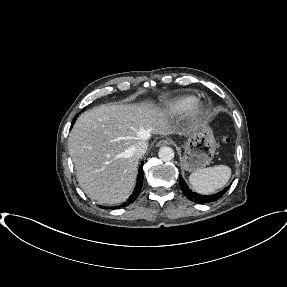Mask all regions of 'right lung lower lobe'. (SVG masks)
I'll use <instances>...</instances> for the list:
<instances>
[{
    "instance_id": "98d812e1",
    "label": "right lung lower lobe",
    "mask_w": 287,
    "mask_h": 287,
    "mask_svg": "<svg viewBox=\"0 0 287 287\" xmlns=\"http://www.w3.org/2000/svg\"><path fill=\"white\" fill-rule=\"evenodd\" d=\"M74 123H72L73 125ZM142 166H143V162L141 163L140 165V168H139V172H138V176H137V182H136V186L134 188V191L132 193V195L129 197V199L127 200V202H125L124 204H122L121 206H114V207H104L105 209H118V208H121V207H126L128 206L129 204L133 203L137 197L139 196L140 192H141V188L143 186V176H144V172H143V169H142ZM102 207V206H100Z\"/></svg>"
}]
</instances>
